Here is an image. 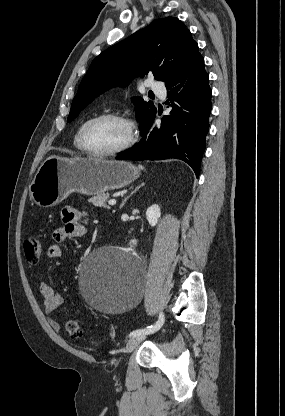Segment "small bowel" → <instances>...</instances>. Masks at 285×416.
Wrapping results in <instances>:
<instances>
[{"instance_id": "c3829d8e", "label": "small bowel", "mask_w": 285, "mask_h": 416, "mask_svg": "<svg viewBox=\"0 0 285 416\" xmlns=\"http://www.w3.org/2000/svg\"><path fill=\"white\" fill-rule=\"evenodd\" d=\"M85 217L86 213L76 208L66 207L62 210L61 220L63 225L53 231L52 239L54 243L46 250V256L49 259H57L62 256V249L59 243L69 238H80L85 235L86 228L80 223ZM39 293L43 299L44 314L50 327L55 332H59L60 324L54 318V312L62 304V295L46 282L39 284Z\"/></svg>"}]
</instances>
